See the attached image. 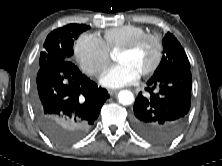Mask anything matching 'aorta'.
I'll return each mask as SVG.
<instances>
[{
	"label": "aorta",
	"instance_id": "762f6f07",
	"mask_svg": "<svg viewBox=\"0 0 222 166\" xmlns=\"http://www.w3.org/2000/svg\"><path fill=\"white\" fill-rule=\"evenodd\" d=\"M118 100L123 105H130L134 101V95L129 90H122L118 94Z\"/></svg>",
	"mask_w": 222,
	"mask_h": 166
}]
</instances>
